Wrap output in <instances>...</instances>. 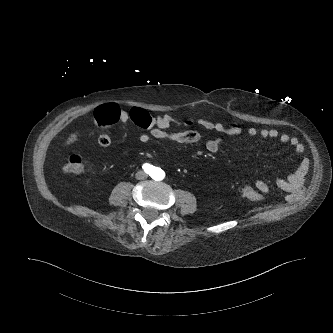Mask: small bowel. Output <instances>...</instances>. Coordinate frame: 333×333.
Masks as SVG:
<instances>
[{"instance_id": "small-bowel-1", "label": "small bowel", "mask_w": 333, "mask_h": 333, "mask_svg": "<svg viewBox=\"0 0 333 333\" xmlns=\"http://www.w3.org/2000/svg\"><path fill=\"white\" fill-rule=\"evenodd\" d=\"M119 120L123 124L127 123L128 121H132L142 129L148 128L147 132L142 133L139 136V141L142 143H148L152 140H166L178 144H193L201 140V138L196 136V130H193L192 132H185L184 130L175 132L168 131V129L172 126L183 129V123L186 121L178 120L169 114H160L152 117L146 110L140 107H134L129 112L120 110ZM200 123L214 122L199 118L196 120V124L199 125ZM243 133H246V135L251 138L260 136L262 138L277 139L282 143L289 144L295 153L299 156V170L292 177L278 179L277 184L281 188L288 191V195L286 197L288 200L294 198L297 194L302 192L304 187L305 174L309 167V159L304 155L305 147L297 137L290 136L287 133L272 128H263L259 130L255 127H249L245 130L243 127L240 132L231 134H216L217 136L206 141V150L210 153H217L221 148L223 136H240ZM97 142L103 147H108L112 143L110 133L107 131L100 132L97 137ZM254 187L259 192L264 194L269 191V185L264 180H255Z\"/></svg>"}]
</instances>
